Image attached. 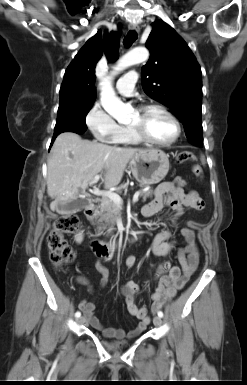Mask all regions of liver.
I'll return each instance as SVG.
<instances>
[{"instance_id":"obj_1","label":"liver","mask_w":247,"mask_h":385,"mask_svg":"<svg viewBox=\"0 0 247 385\" xmlns=\"http://www.w3.org/2000/svg\"><path fill=\"white\" fill-rule=\"evenodd\" d=\"M139 151L83 140L74 132L59 134L47 166V194L54 199L50 209L77 199L79 190H85L99 173L104 172L105 188L117 186L129 160Z\"/></svg>"}]
</instances>
